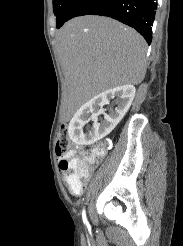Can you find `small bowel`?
Here are the masks:
<instances>
[{"label": "small bowel", "instance_id": "small-bowel-1", "mask_svg": "<svg viewBox=\"0 0 183 246\" xmlns=\"http://www.w3.org/2000/svg\"><path fill=\"white\" fill-rule=\"evenodd\" d=\"M74 156V151H70L66 156H65V158H72ZM63 176H64V180H65V182L68 184V186H69V184H70V181H69V177L67 176V174H65L64 172H63ZM82 192V189L80 190V191H77V192H71V193H73V194H75V195H78V194H80Z\"/></svg>", "mask_w": 183, "mask_h": 246}]
</instances>
